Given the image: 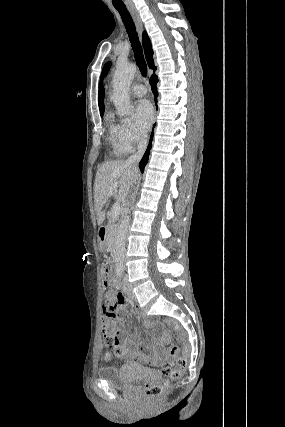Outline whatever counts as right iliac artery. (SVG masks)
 Here are the masks:
<instances>
[{"label": "right iliac artery", "mask_w": 285, "mask_h": 427, "mask_svg": "<svg viewBox=\"0 0 285 427\" xmlns=\"http://www.w3.org/2000/svg\"><path fill=\"white\" fill-rule=\"evenodd\" d=\"M122 272H123V271H122V270H120V276L122 275Z\"/></svg>", "instance_id": "1"}]
</instances>
